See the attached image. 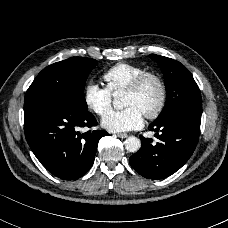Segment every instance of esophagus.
Here are the masks:
<instances>
[{
	"instance_id": "1",
	"label": "esophagus",
	"mask_w": 228,
	"mask_h": 228,
	"mask_svg": "<svg viewBox=\"0 0 228 228\" xmlns=\"http://www.w3.org/2000/svg\"><path fill=\"white\" fill-rule=\"evenodd\" d=\"M117 136H118L119 138H122V139L128 137V135H127L126 133H117Z\"/></svg>"
}]
</instances>
